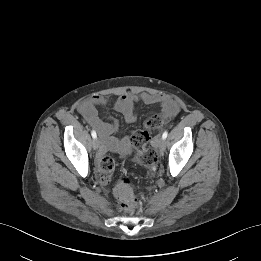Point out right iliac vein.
Returning <instances> with one entry per match:
<instances>
[{"label": "right iliac vein", "instance_id": "obj_1", "mask_svg": "<svg viewBox=\"0 0 261 261\" xmlns=\"http://www.w3.org/2000/svg\"><path fill=\"white\" fill-rule=\"evenodd\" d=\"M92 146H93L94 150H97L99 148V146H100L99 139H97V138L93 139Z\"/></svg>", "mask_w": 261, "mask_h": 261}]
</instances>
